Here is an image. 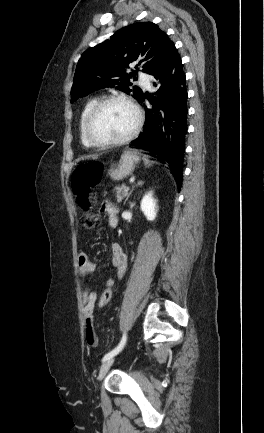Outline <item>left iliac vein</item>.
<instances>
[{
    "label": "left iliac vein",
    "instance_id": "1",
    "mask_svg": "<svg viewBox=\"0 0 264 433\" xmlns=\"http://www.w3.org/2000/svg\"><path fill=\"white\" fill-rule=\"evenodd\" d=\"M114 356L111 358H108L107 360H105L103 362V364L100 367L99 370V374H98V380L101 381L104 376L106 375V373L108 372L109 368L112 366L113 362H114Z\"/></svg>",
    "mask_w": 264,
    "mask_h": 433
}]
</instances>
